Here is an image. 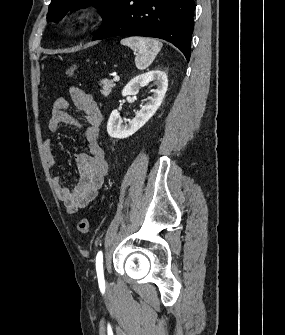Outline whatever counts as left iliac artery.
Instances as JSON below:
<instances>
[{"instance_id": "left-iliac-artery-1", "label": "left iliac artery", "mask_w": 285, "mask_h": 335, "mask_svg": "<svg viewBox=\"0 0 285 335\" xmlns=\"http://www.w3.org/2000/svg\"><path fill=\"white\" fill-rule=\"evenodd\" d=\"M96 271L98 279H104L103 274V254L102 251H99L96 256Z\"/></svg>"}]
</instances>
